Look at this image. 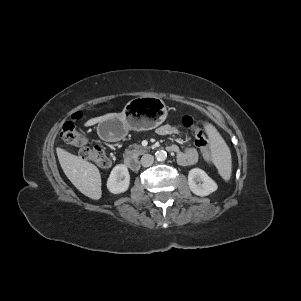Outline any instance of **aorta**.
<instances>
[{
  "mask_svg": "<svg viewBox=\"0 0 301 301\" xmlns=\"http://www.w3.org/2000/svg\"><path fill=\"white\" fill-rule=\"evenodd\" d=\"M155 157L158 161H165L166 158H167V153L166 151L164 150H158L156 153H155Z\"/></svg>",
  "mask_w": 301,
  "mask_h": 301,
  "instance_id": "762f6f07",
  "label": "aorta"
}]
</instances>
